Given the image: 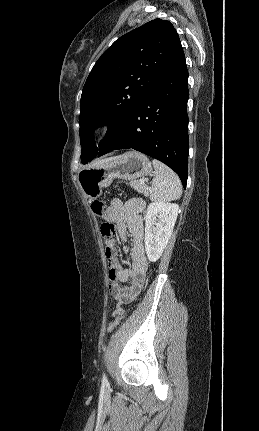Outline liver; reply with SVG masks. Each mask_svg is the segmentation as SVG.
Returning a JSON list of instances; mask_svg holds the SVG:
<instances>
[{"instance_id": "6515ba94", "label": "liver", "mask_w": 259, "mask_h": 431, "mask_svg": "<svg viewBox=\"0 0 259 431\" xmlns=\"http://www.w3.org/2000/svg\"><path fill=\"white\" fill-rule=\"evenodd\" d=\"M112 158H113V157H111V158H107V159H101V160H98V161L94 162L91 166L101 164V163H103V162H105V161H107V160H109V159H112Z\"/></svg>"}]
</instances>
